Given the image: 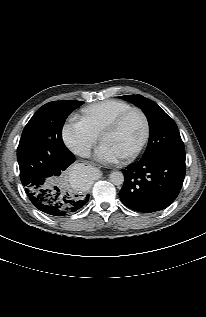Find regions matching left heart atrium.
<instances>
[{
	"instance_id": "obj_1",
	"label": "left heart atrium",
	"mask_w": 206,
	"mask_h": 317,
	"mask_svg": "<svg viewBox=\"0 0 206 317\" xmlns=\"http://www.w3.org/2000/svg\"><path fill=\"white\" fill-rule=\"evenodd\" d=\"M95 157L105 163H115L122 159V156L113 147L105 143L98 147Z\"/></svg>"
}]
</instances>
